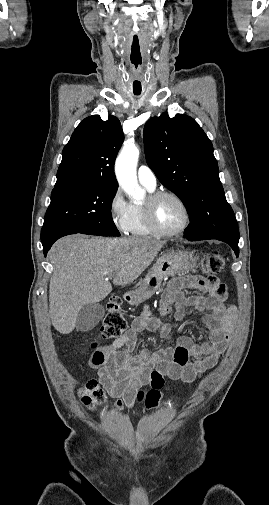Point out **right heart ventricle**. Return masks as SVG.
<instances>
[{
  "label": "right heart ventricle",
  "mask_w": 269,
  "mask_h": 505,
  "mask_svg": "<svg viewBox=\"0 0 269 505\" xmlns=\"http://www.w3.org/2000/svg\"><path fill=\"white\" fill-rule=\"evenodd\" d=\"M149 192H153L154 188H148L144 186ZM129 235L139 236V237H148L154 235V233L148 228L143 211L142 206L138 204L130 205V220L128 229L126 231Z\"/></svg>",
  "instance_id": "e07e8e85"
}]
</instances>
